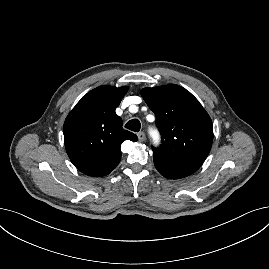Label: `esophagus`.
<instances>
[{"label": "esophagus", "mask_w": 269, "mask_h": 269, "mask_svg": "<svg viewBox=\"0 0 269 269\" xmlns=\"http://www.w3.org/2000/svg\"><path fill=\"white\" fill-rule=\"evenodd\" d=\"M138 138L140 141H144L145 140V133L144 132H139L138 133Z\"/></svg>", "instance_id": "34e87169"}]
</instances>
